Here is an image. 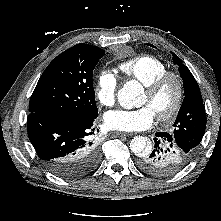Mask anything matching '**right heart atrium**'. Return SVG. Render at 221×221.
<instances>
[{
    "label": "right heart atrium",
    "instance_id": "d8ad5b80",
    "mask_svg": "<svg viewBox=\"0 0 221 221\" xmlns=\"http://www.w3.org/2000/svg\"><path fill=\"white\" fill-rule=\"evenodd\" d=\"M118 82L116 76L109 70H102L95 83V96L97 101L105 107L113 106L116 99Z\"/></svg>",
    "mask_w": 221,
    "mask_h": 221
}]
</instances>
